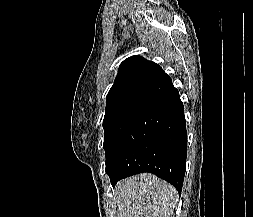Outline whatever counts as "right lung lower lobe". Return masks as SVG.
I'll return each instance as SVG.
<instances>
[{"label": "right lung lower lobe", "instance_id": "1", "mask_svg": "<svg viewBox=\"0 0 253 217\" xmlns=\"http://www.w3.org/2000/svg\"><path fill=\"white\" fill-rule=\"evenodd\" d=\"M187 132L178 90L170 87L150 102L128 127L106 164L112 186L122 178L150 172L180 193L186 170Z\"/></svg>", "mask_w": 253, "mask_h": 217}]
</instances>
